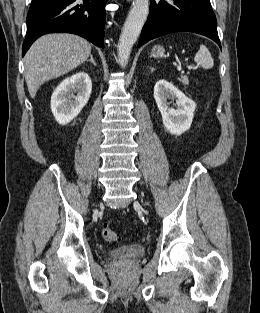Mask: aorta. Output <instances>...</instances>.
<instances>
[{"instance_id": "aorta-1", "label": "aorta", "mask_w": 260, "mask_h": 313, "mask_svg": "<svg viewBox=\"0 0 260 313\" xmlns=\"http://www.w3.org/2000/svg\"><path fill=\"white\" fill-rule=\"evenodd\" d=\"M149 12V0H134L124 23L117 46L118 61L122 67L128 63L134 43L139 37Z\"/></svg>"}]
</instances>
